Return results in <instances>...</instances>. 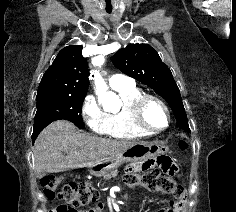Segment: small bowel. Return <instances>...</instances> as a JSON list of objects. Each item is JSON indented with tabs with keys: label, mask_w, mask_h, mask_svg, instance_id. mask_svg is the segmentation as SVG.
Here are the masks:
<instances>
[{
	"label": "small bowel",
	"mask_w": 236,
	"mask_h": 212,
	"mask_svg": "<svg viewBox=\"0 0 236 212\" xmlns=\"http://www.w3.org/2000/svg\"><path fill=\"white\" fill-rule=\"evenodd\" d=\"M100 204H105L106 200L105 199H100L99 200ZM182 203H177L176 205L169 207L165 210H162L163 212H180L182 210ZM82 212H109L108 209H103L102 205H94L93 209H86V211H82Z\"/></svg>",
	"instance_id": "c3829d8e"
}]
</instances>
